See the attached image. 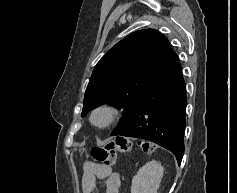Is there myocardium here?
I'll return each mask as SVG.
<instances>
[{
	"mask_svg": "<svg viewBox=\"0 0 237 193\" xmlns=\"http://www.w3.org/2000/svg\"><path fill=\"white\" fill-rule=\"evenodd\" d=\"M118 116L119 111L116 107L110 104H101L91 111L89 120L95 128L105 130L115 124Z\"/></svg>",
	"mask_w": 237,
	"mask_h": 193,
	"instance_id": "myocardium-1",
	"label": "myocardium"
}]
</instances>
